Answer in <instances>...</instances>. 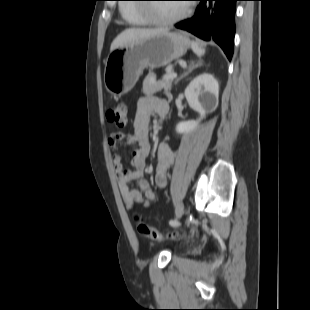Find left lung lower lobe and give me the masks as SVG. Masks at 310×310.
I'll return each mask as SVG.
<instances>
[{"label":"left lung lower lobe","instance_id":"left-lung-lower-lobe-1","mask_svg":"<svg viewBox=\"0 0 310 310\" xmlns=\"http://www.w3.org/2000/svg\"><path fill=\"white\" fill-rule=\"evenodd\" d=\"M197 1L200 3L196 8L195 15L175 24V27L187 30L204 40L214 41L231 60L235 35L236 1L239 0ZM212 1L216 3L212 5Z\"/></svg>","mask_w":310,"mask_h":310}]
</instances>
